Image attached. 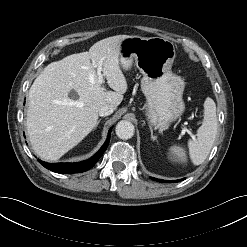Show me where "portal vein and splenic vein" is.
Segmentation results:
<instances>
[{
	"label": "portal vein and splenic vein",
	"instance_id": "obj_1",
	"mask_svg": "<svg viewBox=\"0 0 247 247\" xmlns=\"http://www.w3.org/2000/svg\"><path fill=\"white\" fill-rule=\"evenodd\" d=\"M97 76H98V83L100 84L104 83V77H103L104 75L101 73V67L97 69ZM184 124L186 125L187 123H184ZM184 130L187 131L186 128H184ZM188 133L191 134V132H188Z\"/></svg>",
	"mask_w": 247,
	"mask_h": 247
}]
</instances>
